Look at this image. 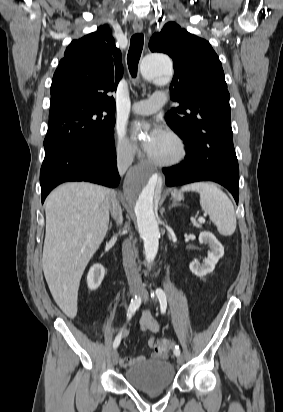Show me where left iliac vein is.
<instances>
[{
	"instance_id": "obj_1",
	"label": "left iliac vein",
	"mask_w": 283,
	"mask_h": 412,
	"mask_svg": "<svg viewBox=\"0 0 283 412\" xmlns=\"http://www.w3.org/2000/svg\"><path fill=\"white\" fill-rule=\"evenodd\" d=\"M140 293H141V296H142V298H143V301H144V302H147V301H148V298H149V295H148L147 290H146L144 287H142L141 290H140ZM183 362H184L183 356L179 355V356L177 357V363H178L179 365H181V364H183Z\"/></svg>"
}]
</instances>
